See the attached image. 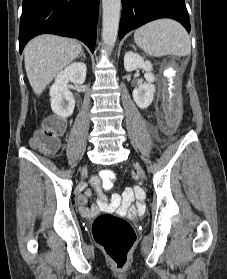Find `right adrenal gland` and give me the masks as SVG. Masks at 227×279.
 Instances as JSON below:
<instances>
[{"instance_id":"2a0ac1e0","label":"right adrenal gland","mask_w":227,"mask_h":279,"mask_svg":"<svg viewBox=\"0 0 227 279\" xmlns=\"http://www.w3.org/2000/svg\"><path fill=\"white\" fill-rule=\"evenodd\" d=\"M80 57H83L84 59H86V56H85V54H84V51H82V52L80 53V55L78 56V58H80Z\"/></svg>"}]
</instances>
